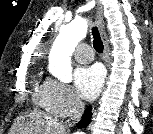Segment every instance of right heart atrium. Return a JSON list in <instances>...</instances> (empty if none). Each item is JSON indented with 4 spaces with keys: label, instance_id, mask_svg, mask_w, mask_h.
Listing matches in <instances>:
<instances>
[{
    "label": "right heart atrium",
    "instance_id": "1",
    "mask_svg": "<svg viewBox=\"0 0 153 134\" xmlns=\"http://www.w3.org/2000/svg\"><path fill=\"white\" fill-rule=\"evenodd\" d=\"M44 107L57 116L68 117L80 109L81 102L68 85L49 79L46 85Z\"/></svg>",
    "mask_w": 153,
    "mask_h": 134
}]
</instances>
